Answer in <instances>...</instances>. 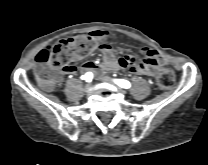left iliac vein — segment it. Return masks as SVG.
<instances>
[{"label": "left iliac vein", "instance_id": "obj_1", "mask_svg": "<svg viewBox=\"0 0 208 165\" xmlns=\"http://www.w3.org/2000/svg\"><path fill=\"white\" fill-rule=\"evenodd\" d=\"M101 80H102L103 82H105V83L115 85V84L113 83V81H112L110 78H108V77H103V78H101Z\"/></svg>", "mask_w": 208, "mask_h": 165}]
</instances>
